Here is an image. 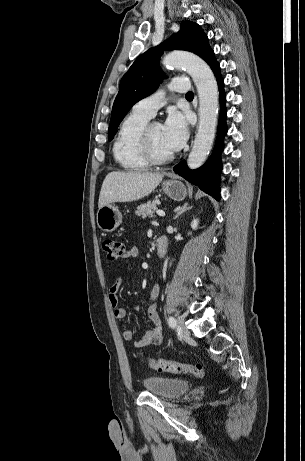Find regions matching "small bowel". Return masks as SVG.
Instances as JSON below:
<instances>
[{
  "label": "small bowel",
  "mask_w": 305,
  "mask_h": 461,
  "mask_svg": "<svg viewBox=\"0 0 305 461\" xmlns=\"http://www.w3.org/2000/svg\"><path fill=\"white\" fill-rule=\"evenodd\" d=\"M139 254V249L136 246H131L128 248L123 256L121 257L123 260H129L136 258ZM129 279L128 275L120 276L114 284L110 287L109 290V303L112 307L113 314L116 318L122 319L126 317L127 310L124 309L119 305L117 293L121 286ZM160 294V286L155 284L149 296V307H148V317L151 321L152 327L148 330L141 338L134 340V332L131 329H125L123 332V337L127 341L134 340V346L136 348H143L149 345H161L164 341V336L162 332V325L158 314V308L156 300ZM140 308L139 306H135L132 308L134 311H138Z\"/></svg>",
  "instance_id": "c3829d8e"
}]
</instances>
